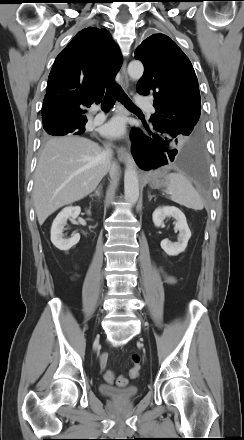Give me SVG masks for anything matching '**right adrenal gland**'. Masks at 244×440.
I'll list each match as a JSON object with an SVG mask.
<instances>
[{
	"label": "right adrenal gland",
	"instance_id": "right-adrenal-gland-1",
	"mask_svg": "<svg viewBox=\"0 0 244 440\" xmlns=\"http://www.w3.org/2000/svg\"><path fill=\"white\" fill-rule=\"evenodd\" d=\"M102 193V185H99L94 194H91L90 197L98 196L100 197Z\"/></svg>",
	"mask_w": 244,
	"mask_h": 440
}]
</instances>
